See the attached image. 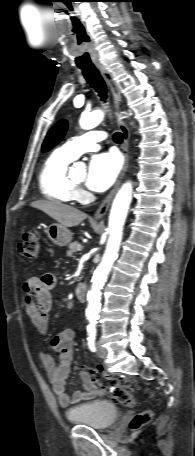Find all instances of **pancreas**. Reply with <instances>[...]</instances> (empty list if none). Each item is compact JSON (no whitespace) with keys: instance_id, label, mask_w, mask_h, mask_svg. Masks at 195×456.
Masks as SVG:
<instances>
[{"instance_id":"1","label":"pancreas","mask_w":195,"mask_h":456,"mask_svg":"<svg viewBox=\"0 0 195 456\" xmlns=\"http://www.w3.org/2000/svg\"><path fill=\"white\" fill-rule=\"evenodd\" d=\"M79 245V243L77 241H74L72 243L69 244V249L67 251V256L68 257H73V255L76 253L77 251V246Z\"/></svg>"}]
</instances>
